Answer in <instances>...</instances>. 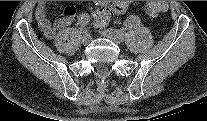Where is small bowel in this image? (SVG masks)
I'll return each mask as SVG.
<instances>
[{"label": "small bowel", "instance_id": "obj_1", "mask_svg": "<svg viewBox=\"0 0 207 121\" xmlns=\"http://www.w3.org/2000/svg\"><path fill=\"white\" fill-rule=\"evenodd\" d=\"M106 4L108 3L101 2V5ZM110 5L115 6V14H122L126 10L128 3L120 1ZM46 10L47 3L44 1L39 2L35 10V19L39 29L47 39H53L60 29L70 25L76 14V8L74 6H67L64 9L63 15L54 22H51L46 16Z\"/></svg>", "mask_w": 207, "mask_h": 121}]
</instances>
